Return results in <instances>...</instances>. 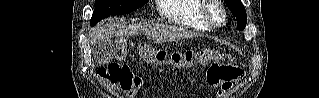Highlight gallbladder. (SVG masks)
Segmentation results:
<instances>
[{"mask_svg":"<svg viewBox=\"0 0 319 98\" xmlns=\"http://www.w3.org/2000/svg\"><path fill=\"white\" fill-rule=\"evenodd\" d=\"M94 59L99 65H104L109 63L113 58V48L108 42L105 45L99 44L95 47Z\"/></svg>","mask_w":319,"mask_h":98,"instance_id":"obj_1","label":"gallbladder"}]
</instances>
